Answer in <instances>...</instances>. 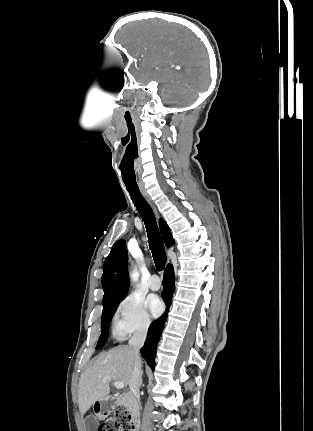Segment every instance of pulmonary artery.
I'll return each instance as SVG.
<instances>
[{
  "label": "pulmonary artery",
  "instance_id": "e3ab8cb5",
  "mask_svg": "<svg viewBox=\"0 0 313 431\" xmlns=\"http://www.w3.org/2000/svg\"><path fill=\"white\" fill-rule=\"evenodd\" d=\"M161 287V281L160 278L157 275H152L149 280V288L151 290H159Z\"/></svg>",
  "mask_w": 313,
  "mask_h": 431
}]
</instances>
